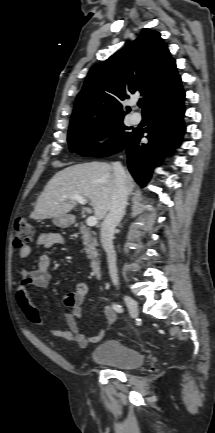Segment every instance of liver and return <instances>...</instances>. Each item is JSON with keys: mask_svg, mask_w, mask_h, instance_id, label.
Returning a JSON list of instances; mask_svg holds the SVG:
<instances>
[{"mask_svg": "<svg viewBox=\"0 0 215 433\" xmlns=\"http://www.w3.org/2000/svg\"><path fill=\"white\" fill-rule=\"evenodd\" d=\"M125 183L130 194L134 181L129 173H126ZM115 185L114 170L108 163L92 161L69 166L47 183L30 217L43 220L67 214L74 207L70 197L80 195L90 200L95 217L101 220L110 209Z\"/></svg>", "mask_w": 215, "mask_h": 433, "instance_id": "6515ba94", "label": "liver"}]
</instances>
